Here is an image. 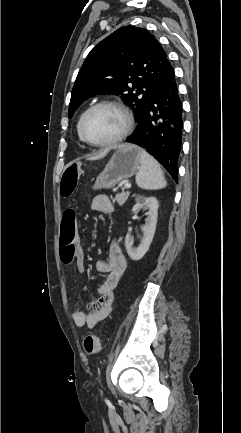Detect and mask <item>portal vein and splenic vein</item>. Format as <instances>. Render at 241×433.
Instances as JSON below:
<instances>
[{
  "label": "portal vein and splenic vein",
  "instance_id": "1",
  "mask_svg": "<svg viewBox=\"0 0 241 433\" xmlns=\"http://www.w3.org/2000/svg\"><path fill=\"white\" fill-rule=\"evenodd\" d=\"M124 188H125V189H129V188H131V184L126 183V184L124 185Z\"/></svg>",
  "mask_w": 241,
  "mask_h": 433
}]
</instances>
